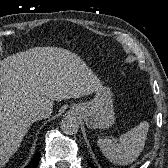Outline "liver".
I'll list each match as a JSON object with an SVG mask.
<instances>
[{
    "label": "liver",
    "instance_id": "obj_1",
    "mask_svg": "<svg viewBox=\"0 0 168 168\" xmlns=\"http://www.w3.org/2000/svg\"><path fill=\"white\" fill-rule=\"evenodd\" d=\"M99 78L69 50L35 47L0 61V166L18 150L31 121L28 112L53 101L97 92Z\"/></svg>",
    "mask_w": 168,
    "mask_h": 168
}]
</instances>
